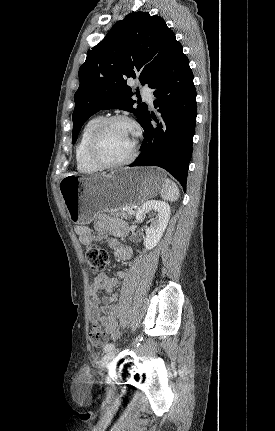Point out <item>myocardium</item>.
Returning <instances> with one entry per match:
<instances>
[{
    "instance_id": "1",
    "label": "myocardium",
    "mask_w": 275,
    "mask_h": 431,
    "mask_svg": "<svg viewBox=\"0 0 275 431\" xmlns=\"http://www.w3.org/2000/svg\"><path fill=\"white\" fill-rule=\"evenodd\" d=\"M122 122L128 124L134 132V144L131 154L124 160L119 162H108L102 159L98 154L100 140L106 129L113 123ZM139 135L135 124L128 117L122 115H114L104 118L91 133L87 144V155L89 160L100 169H117L131 164L138 153Z\"/></svg>"
}]
</instances>
